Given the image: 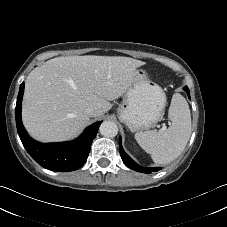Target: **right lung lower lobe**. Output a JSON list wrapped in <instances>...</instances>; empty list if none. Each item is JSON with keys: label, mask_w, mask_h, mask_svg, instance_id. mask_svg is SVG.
<instances>
[{"label": "right lung lower lobe", "mask_w": 227, "mask_h": 227, "mask_svg": "<svg viewBox=\"0 0 227 227\" xmlns=\"http://www.w3.org/2000/svg\"><path fill=\"white\" fill-rule=\"evenodd\" d=\"M24 83L20 85L15 108L16 125L19 137L29 155L42 167L59 172L74 171L87 160L90 147L102 121L87 127L76 140L62 143H40L26 132L21 119V102Z\"/></svg>", "instance_id": "1"}]
</instances>
